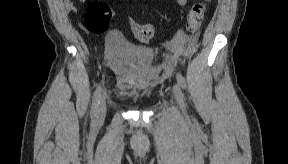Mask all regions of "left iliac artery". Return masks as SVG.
Segmentation results:
<instances>
[{
	"instance_id": "44dca946",
	"label": "left iliac artery",
	"mask_w": 288,
	"mask_h": 164,
	"mask_svg": "<svg viewBox=\"0 0 288 164\" xmlns=\"http://www.w3.org/2000/svg\"><path fill=\"white\" fill-rule=\"evenodd\" d=\"M177 81H178L179 85H180L183 89L186 88L185 79H184V77H183L181 74H177Z\"/></svg>"
}]
</instances>
